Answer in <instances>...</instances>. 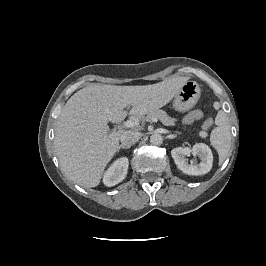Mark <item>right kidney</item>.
<instances>
[{"label":"right kidney","instance_id":"ca27d5eb","mask_svg":"<svg viewBox=\"0 0 266 266\" xmlns=\"http://www.w3.org/2000/svg\"><path fill=\"white\" fill-rule=\"evenodd\" d=\"M128 165L129 161L126 157L116 160L105 172L103 183L108 187L120 183L127 175Z\"/></svg>","mask_w":266,"mask_h":266}]
</instances>
